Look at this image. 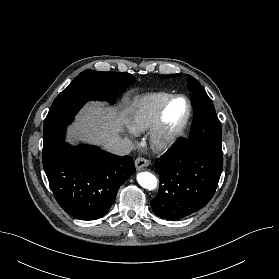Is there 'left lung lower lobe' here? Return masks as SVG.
Masks as SVG:
<instances>
[{"instance_id": "1", "label": "left lung lower lobe", "mask_w": 279, "mask_h": 279, "mask_svg": "<svg viewBox=\"0 0 279 279\" xmlns=\"http://www.w3.org/2000/svg\"><path fill=\"white\" fill-rule=\"evenodd\" d=\"M223 167V154L203 145L177 142L156 162L160 188L151 201L160 218L179 220L204 207L214 195Z\"/></svg>"}]
</instances>
